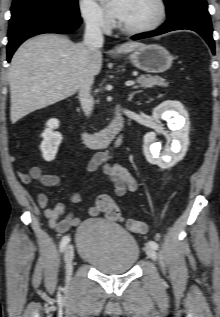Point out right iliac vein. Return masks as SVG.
<instances>
[{"mask_svg": "<svg viewBox=\"0 0 220 317\" xmlns=\"http://www.w3.org/2000/svg\"><path fill=\"white\" fill-rule=\"evenodd\" d=\"M73 258H74V248L72 245H68L64 253L67 282H69V280L71 279V275L73 271V264H72Z\"/></svg>", "mask_w": 220, "mask_h": 317, "instance_id": "63e3f726", "label": "right iliac vein"}]
</instances>
